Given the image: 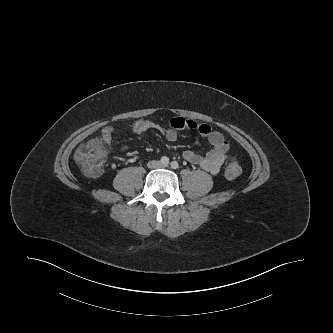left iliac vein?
I'll return each instance as SVG.
<instances>
[{
  "instance_id": "left-iliac-vein-1",
  "label": "left iliac vein",
  "mask_w": 333,
  "mask_h": 333,
  "mask_svg": "<svg viewBox=\"0 0 333 333\" xmlns=\"http://www.w3.org/2000/svg\"><path fill=\"white\" fill-rule=\"evenodd\" d=\"M160 167H161V168H165V167H167V165H161Z\"/></svg>"
}]
</instances>
